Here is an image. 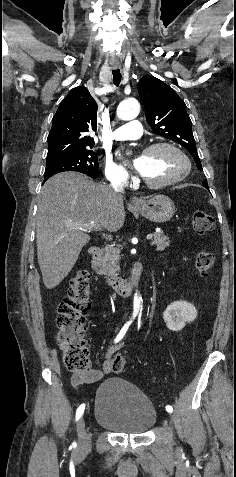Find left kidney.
Instances as JSON below:
<instances>
[{"label":"left kidney","instance_id":"left-kidney-1","mask_svg":"<svg viewBox=\"0 0 236 477\" xmlns=\"http://www.w3.org/2000/svg\"><path fill=\"white\" fill-rule=\"evenodd\" d=\"M196 317V308L194 305L186 301H176L171 303L163 313V319L166 326L172 331L182 330L186 323L194 321Z\"/></svg>","mask_w":236,"mask_h":477}]
</instances>
